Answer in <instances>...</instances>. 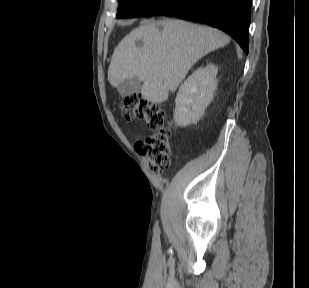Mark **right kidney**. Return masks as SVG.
<instances>
[{
  "label": "right kidney",
  "instance_id": "obj_1",
  "mask_svg": "<svg viewBox=\"0 0 309 288\" xmlns=\"http://www.w3.org/2000/svg\"><path fill=\"white\" fill-rule=\"evenodd\" d=\"M217 73V67L208 64L192 73L180 86L174 111V120L178 126L186 127L201 118L213 99Z\"/></svg>",
  "mask_w": 309,
  "mask_h": 288
}]
</instances>
